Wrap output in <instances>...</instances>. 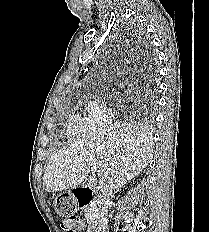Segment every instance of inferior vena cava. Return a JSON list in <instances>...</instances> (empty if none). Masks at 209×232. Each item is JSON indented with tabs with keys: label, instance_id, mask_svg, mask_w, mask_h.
<instances>
[{
	"label": "inferior vena cava",
	"instance_id": "1",
	"mask_svg": "<svg viewBox=\"0 0 209 232\" xmlns=\"http://www.w3.org/2000/svg\"><path fill=\"white\" fill-rule=\"evenodd\" d=\"M111 201L109 196H104L101 200V207H100V216H99V223L97 227V232H107L108 230V206L110 205Z\"/></svg>",
	"mask_w": 209,
	"mask_h": 232
}]
</instances>
